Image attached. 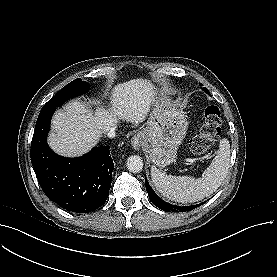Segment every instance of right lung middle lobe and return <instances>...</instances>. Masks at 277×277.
Instances as JSON below:
<instances>
[{"label": "right lung middle lobe", "instance_id": "obj_1", "mask_svg": "<svg viewBox=\"0 0 277 277\" xmlns=\"http://www.w3.org/2000/svg\"><path fill=\"white\" fill-rule=\"evenodd\" d=\"M87 82L82 81L81 78L75 79L65 87H63L54 97H52L41 110L56 108L70 98L76 97L85 93L89 89Z\"/></svg>", "mask_w": 277, "mask_h": 277}]
</instances>
